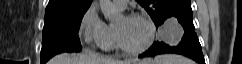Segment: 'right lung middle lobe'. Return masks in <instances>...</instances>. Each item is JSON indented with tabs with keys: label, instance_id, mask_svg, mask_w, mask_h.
<instances>
[{
	"label": "right lung middle lobe",
	"instance_id": "1",
	"mask_svg": "<svg viewBox=\"0 0 242 64\" xmlns=\"http://www.w3.org/2000/svg\"><path fill=\"white\" fill-rule=\"evenodd\" d=\"M84 14L45 16L40 64H45L58 53L82 50L78 32Z\"/></svg>",
	"mask_w": 242,
	"mask_h": 64
}]
</instances>
